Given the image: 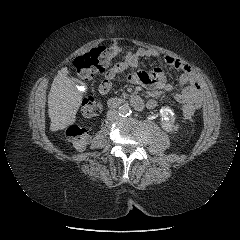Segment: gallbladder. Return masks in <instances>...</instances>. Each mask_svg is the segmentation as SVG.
I'll return each mask as SVG.
<instances>
[{
	"label": "gallbladder",
	"instance_id": "obj_1",
	"mask_svg": "<svg viewBox=\"0 0 240 240\" xmlns=\"http://www.w3.org/2000/svg\"><path fill=\"white\" fill-rule=\"evenodd\" d=\"M75 84H79V81L76 79H72Z\"/></svg>",
	"mask_w": 240,
	"mask_h": 240
}]
</instances>
